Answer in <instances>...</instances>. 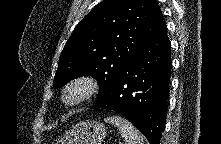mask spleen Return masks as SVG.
<instances>
[{
  "instance_id": "1",
  "label": "spleen",
  "mask_w": 221,
  "mask_h": 144,
  "mask_svg": "<svg viewBox=\"0 0 221 144\" xmlns=\"http://www.w3.org/2000/svg\"><path fill=\"white\" fill-rule=\"evenodd\" d=\"M105 121L119 129L125 144H144L143 135L127 119L114 115Z\"/></svg>"
}]
</instances>
